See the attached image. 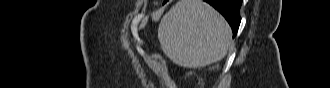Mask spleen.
Masks as SVG:
<instances>
[{
    "label": "spleen",
    "mask_w": 330,
    "mask_h": 88,
    "mask_svg": "<svg viewBox=\"0 0 330 88\" xmlns=\"http://www.w3.org/2000/svg\"><path fill=\"white\" fill-rule=\"evenodd\" d=\"M158 38L175 64L196 68L221 60L231 44L225 19L202 0H180L162 18Z\"/></svg>",
    "instance_id": "obj_1"
}]
</instances>
